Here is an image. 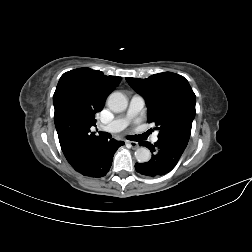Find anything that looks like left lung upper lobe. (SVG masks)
Segmentation results:
<instances>
[{
    "instance_id": "5c2ea615",
    "label": "left lung upper lobe",
    "mask_w": 252,
    "mask_h": 252,
    "mask_svg": "<svg viewBox=\"0 0 252 252\" xmlns=\"http://www.w3.org/2000/svg\"><path fill=\"white\" fill-rule=\"evenodd\" d=\"M126 80L145 98L147 121L156 124L158 138H170L187 145L196 113V97L186 78L163 72L147 79L127 77Z\"/></svg>"
}]
</instances>
